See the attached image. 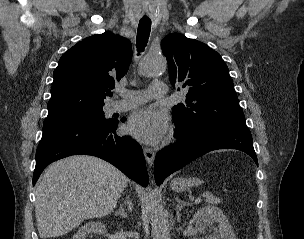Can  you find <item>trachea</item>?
Returning <instances> with one entry per match:
<instances>
[{
	"label": "trachea",
	"mask_w": 304,
	"mask_h": 239,
	"mask_svg": "<svg viewBox=\"0 0 304 239\" xmlns=\"http://www.w3.org/2000/svg\"><path fill=\"white\" fill-rule=\"evenodd\" d=\"M151 31V20L146 12L141 14V20L139 21L137 30V51L143 52L146 47Z\"/></svg>",
	"instance_id": "obj_1"
}]
</instances>
